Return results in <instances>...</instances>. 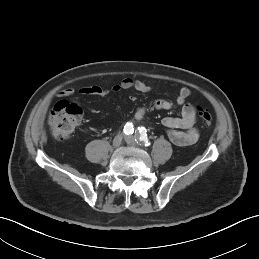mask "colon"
<instances>
[{
	"label": "colon",
	"mask_w": 259,
	"mask_h": 259,
	"mask_svg": "<svg viewBox=\"0 0 259 259\" xmlns=\"http://www.w3.org/2000/svg\"><path fill=\"white\" fill-rule=\"evenodd\" d=\"M197 111L204 126L208 129L212 128L213 118L210 113L200 107ZM81 115L82 109L79 105L68 101L58 103L51 111L48 120L52 135L57 140H67L78 125Z\"/></svg>",
	"instance_id": "colon-1"
}]
</instances>
